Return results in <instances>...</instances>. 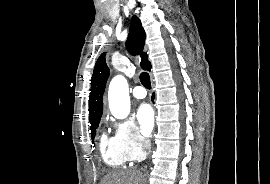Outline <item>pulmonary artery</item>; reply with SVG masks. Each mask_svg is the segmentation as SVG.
<instances>
[{"instance_id":"pulmonary-artery-1","label":"pulmonary artery","mask_w":270,"mask_h":184,"mask_svg":"<svg viewBox=\"0 0 270 184\" xmlns=\"http://www.w3.org/2000/svg\"><path fill=\"white\" fill-rule=\"evenodd\" d=\"M146 90L142 86H136L133 89V96L137 99H143L146 97Z\"/></svg>"}]
</instances>
